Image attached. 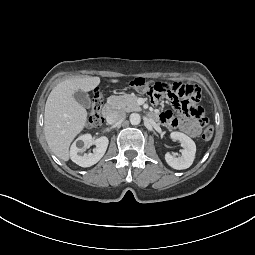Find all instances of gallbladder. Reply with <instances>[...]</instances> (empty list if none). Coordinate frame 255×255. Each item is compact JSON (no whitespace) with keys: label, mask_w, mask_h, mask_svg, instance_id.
Returning <instances> with one entry per match:
<instances>
[{"label":"gallbladder","mask_w":255,"mask_h":255,"mask_svg":"<svg viewBox=\"0 0 255 255\" xmlns=\"http://www.w3.org/2000/svg\"><path fill=\"white\" fill-rule=\"evenodd\" d=\"M74 97L76 101L84 108L90 107V97L88 94L78 90L77 92H75Z\"/></svg>","instance_id":"gallbladder-1"}]
</instances>
